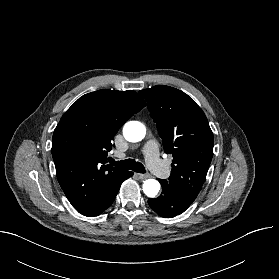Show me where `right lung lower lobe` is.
I'll return each mask as SVG.
<instances>
[{"mask_svg":"<svg viewBox=\"0 0 279 279\" xmlns=\"http://www.w3.org/2000/svg\"><path fill=\"white\" fill-rule=\"evenodd\" d=\"M131 176H133V173L130 171H126L121 177H119L117 180H115L108 186L101 200L94 208L80 213L89 217L100 215L103 211L110 207V205L114 201L121 186V183Z\"/></svg>","mask_w":279,"mask_h":279,"instance_id":"98d812e1","label":"right lung lower lobe"}]
</instances>
